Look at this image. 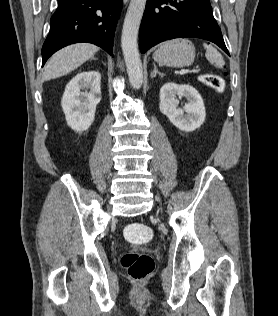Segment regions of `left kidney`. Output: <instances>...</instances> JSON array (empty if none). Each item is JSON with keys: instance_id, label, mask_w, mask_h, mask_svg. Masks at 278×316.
I'll list each match as a JSON object with an SVG mask.
<instances>
[{"instance_id": "left-kidney-1", "label": "left kidney", "mask_w": 278, "mask_h": 316, "mask_svg": "<svg viewBox=\"0 0 278 316\" xmlns=\"http://www.w3.org/2000/svg\"><path fill=\"white\" fill-rule=\"evenodd\" d=\"M186 97L188 103L183 109L177 108L179 100ZM160 111L166 115L170 122L178 129L191 132L199 128L205 121L206 112L203 99L198 91L190 85L166 83L160 89ZM184 112L187 114L184 115Z\"/></svg>"}]
</instances>
